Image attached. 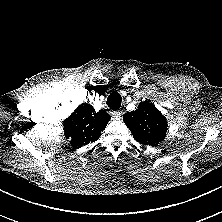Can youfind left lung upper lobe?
<instances>
[{"instance_id": "left-lung-upper-lobe-1", "label": "left lung upper lobe", "mask_w": 222, "mask_h": 222, "mask_svg": "<svg viewBox=\"0 0 222 222\" xmlns=\"http://www.w3.org/2000/svg\"><path fill=\"white\" fill-rule=\"evenodd\" d=\"M123 121L141 144L156 146L165 139L167 120L150 102H141L138 109L125 113Z\"/></svg>"}]
</instances>
